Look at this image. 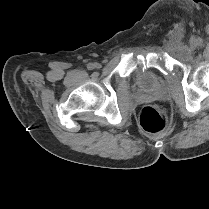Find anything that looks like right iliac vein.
I'll return each instance as SVG.
<instances>
[{
  "label": "right iliac vein",
  "mask_w": 209,
  "mask_h": 209,
  "mask_svg": "<svg viewBox=\"0 0 209 209\" xmlns=\"http://www.w3.org/2000/svg\"><path fill=\"white\" fill-rule=\"evenodd\" d=\"M95 66L96 68H101V65L99 63H97Z\"/></svg>",
  "instance_id": "1"
}]
</instances>
